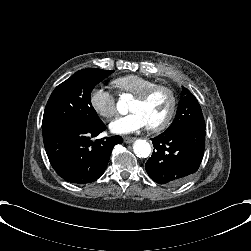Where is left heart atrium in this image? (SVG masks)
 <instances>
[{
    "label": "left heart atrium",
    "instance_id": "obj_1",
    "mask_svg": "<svg viewBox=\"0 0 251 251\" xmlns=\"http://www.w3.org/2000/svg\"><path fill=\"white\" fill-rule=\"evenodd\" d=\"M149 126V121L140 110L132 111L114 118L110 124V130L116 134H130Z\"/></svg>",
    "mask_w": 251,
    "mask_h": 251
}]
</instances>
